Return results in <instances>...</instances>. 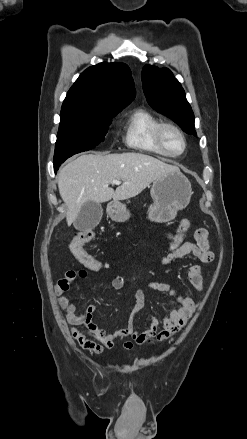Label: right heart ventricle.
I'll use <instances>...</instances> for the list:
<instances>
[{"mask_svg":"<svg viewBox=\"0 0 247 439\" xmlns=\"http://www.w3.org/2000/svg\"><path fill=\"white\" fill-rule=\"evenodd\" d=\"M159 118L145 108L134 109L124 123L123 141L131 149L165 155L155 141Z\"/></svg>","mask_w":247,"mask_h":439,"instance_id":"obj_1","label":"right heart ventricle"}]
</instances>
